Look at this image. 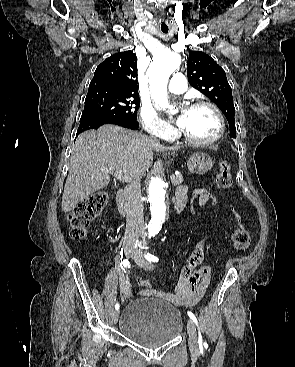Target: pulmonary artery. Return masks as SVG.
I'll return each mask as SVG.
<instances>
[{"label":"pulmonary artery","instance_id":"1","mask_svg":"<svg viewBox=\"0 0 295 367\" xmlns=\"http://www.w3.org/2000/svg\"><path fill=\"white\" fill-rule=\"evenodd\" d=\"M187 89V80L184 74L175 73L168 85V90L175 94L183 93Z\"/></svg>","mask_w":295,"mask_h":367}]
</instances>
